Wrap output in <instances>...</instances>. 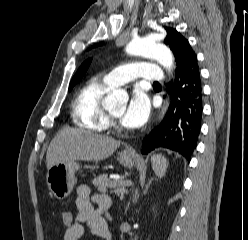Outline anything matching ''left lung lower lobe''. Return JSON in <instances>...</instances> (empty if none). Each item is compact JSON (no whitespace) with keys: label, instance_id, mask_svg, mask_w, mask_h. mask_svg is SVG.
I'll use <instances>...</instances> for the list:
<instances>
[{"label":"left lung lower lobe","instance_id":"obj_1","mask_svg":"<svg viewBox=\"0 0 248 240\" xmlns=\"http://www.w3.org/2000/svg\"><path fill=\"white\" fill-rule=\"evenodd\" d=\"M171 102L166 116L143 141L141 152L158 147L178 152L188 161L197 146L202 120V84L196 55L170 83Z\"/></svg>","mask_w":248,"mask_h":240}]
</instances>
